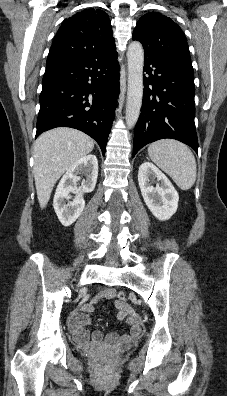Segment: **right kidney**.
I'll return each instance as SVG.
<instances>
[{
	"instance_id": "obj_1",
	"label": "right kidney",
	"mask_w": 227,
	"mask_h": 396,
	"mask_svg": "<svg viewBox=\"0 0 227 396\" xmlns=\"http://www.w3.org/2000/svg\"><path fill=\"white\" fill-rule=\"evenodd\" d=\"M79 175H85L81 186L77 188ZM98 176V160L93 154L87 155L75 162L60 180L54 200V210L64 226H70L80 216L85 207L84 193L92 192ZM76 194L73 201H69ZM67 202V203H66Z\"/></svg>"
}]
</instances>
